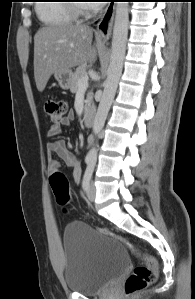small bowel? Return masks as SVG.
<instances>
[{
    "label": "small bowel",
    "instance_id": "small-bowel-1",
    "mask_svg": "<svg viewBox=\"0 0 195 299\" xmlns=\"http://www.w3.org/2000/svg\"><path fill=\"white\" fill-rule=\"evenodd\" d=\"M72 120L73 114L70 113L59 122L52 123L47 131V135L49 137L58 135L63 127L70 126ZM47 149L50 154H56L60 159L64 161L66 166L72 171V179L75 182H79L81 178V166L76 155L65 146V143L62 140L55 141L48 144ZM49 167L51 169H56L59 167V164L56 160L50 158Z\"/></svg>",
    "mask_w": 195,
    "mask_h": 299
}]
</instances>
